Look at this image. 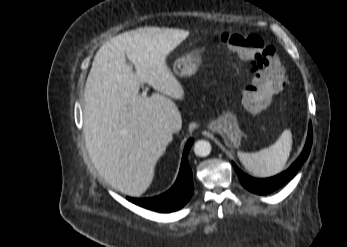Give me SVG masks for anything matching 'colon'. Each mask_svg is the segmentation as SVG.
Instances as JSON below:
<instances>
[{"label": "colon", "mask_w": 347, "mask_h": 247, "mask_svg": "<svg viewBox=\"0 0 347 247\" xmlns=\"http://www.w3.org/2000/svg\"><path fill=\"white\" fill-rule=\"evenodd\" d=\"M220 40L251 65L253 83L246 88L240 106L249 110L265 107L269 97L279 92L285 84L284 69L276 57L274 47L265 44L256 34L240 31L224 32Z\"/></svg>", "instance_id": "obj_1"}]
</instances>
